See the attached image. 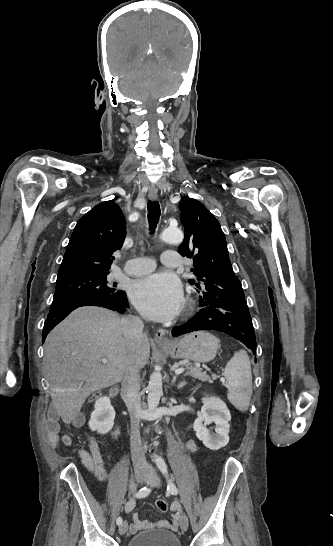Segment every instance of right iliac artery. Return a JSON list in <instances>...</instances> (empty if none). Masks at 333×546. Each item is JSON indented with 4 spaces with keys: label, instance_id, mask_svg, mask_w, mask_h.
<instances>
[{
    "label": "right iliac artery",
    "instance_id": "obj_1",
    "mask_svg": "<svg viewBox=\"0 0 333 546\" xmlns=\"http://www.w3.org/2000/svg\"><path fill=\"white\" fill-rule=\"evenodd\" d=\"M151 492V489L148 488V487H144L142 489H140L136 494H135V497L137 498H144L146 496H148ZM122 518L121 517H118L117 520H116V523L117 525H121L122 524Z\"/></svg>",
    "mask_w": 333,
    "mask_h": 546
}]
</instances>
